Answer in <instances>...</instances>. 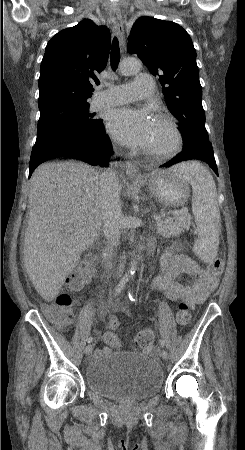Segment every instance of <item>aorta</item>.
<instances>
[{"label": "aorta", "mask_w": 245, "mask_h": 450, "mask_svg": "<svg viewBox=\"0 0 245 450\" xmlns=\"http://www.w3.org/2000/svg\"><path fill=\"white\" fill-rule=\"evenodd\" d=\"M141 68V62L138 59L127 58L124 59L120 64V70L124 75H131L137 73ZM134 256V253H132ZM136 268V261H131L130 273L133 274Z\"/></svg>", "instance_id": "1"}]
</instances>
